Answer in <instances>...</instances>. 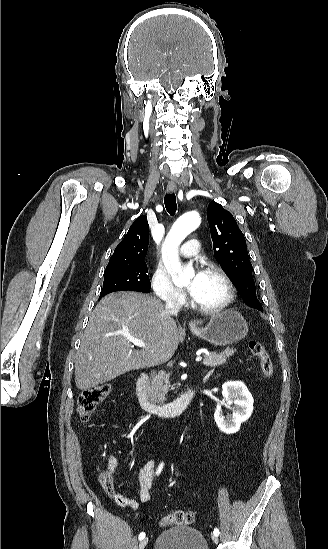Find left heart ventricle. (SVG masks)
Instances as JSON below:
<instances>
[{
  "mask_svg": "<svg viewBox=\"0 0 328 549\" xmlns=\"http://www.w3.org/2000/svg\"><path fill=\"white\" fill-rule=\"evenodd\" d=\"M207 267H202L206 269ZM192 270V268L190 267ZM202 270V271H203ZM192 275L190 276L187 287L190 284ZM226 294V286L224 281L216 273L208 272L203 273L197 289L196 295L193 299L206 307H211L219 303Z\"/></svg>",
  "mask_w": 328,
  "mask_h": 549,
  "instance_id": "left-heart-ventricle-1",
  "label": "left heart ventricle"
}]
</instances>
